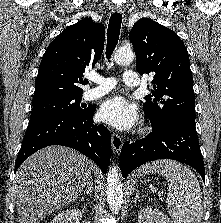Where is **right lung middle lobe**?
Segmentation results:
<instances>
[{
  "label": "right lung middle lobe",
  "instance_id": "right-lung-middle-lobe-1",
  "mask_svg": "<svg viewBox=\"0 0 221 223\" xmlns=\"http://www.w3.org/2000/svg\"><path fill=\"white\" fill-rule=\"evenodd\" d=\"M81 95L33 103L30 122L50 115L77 116L88 113L92 107L86 108V105L80 103Z\"/></svg>",
  "mask_w": 221,
  "mask_h": 223
}]
</instances>
